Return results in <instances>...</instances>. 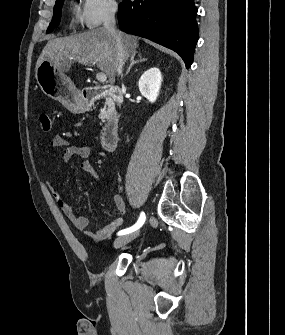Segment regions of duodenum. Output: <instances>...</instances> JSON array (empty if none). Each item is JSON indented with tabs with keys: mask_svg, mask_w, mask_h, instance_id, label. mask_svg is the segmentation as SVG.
Returning a JSON list of instances; mask_svg holds the SVG:
<instances>
[{
	"mask_svg": "<svg viewBox=\"0 0 285 335\" xmlns=\"http://www.w3.org/2000/svg\"><path fill=\"white\" fill-rule=\"evenodd\" d=\"M104 98L109 100V115L102 127L100 141L107 151H113L119 142L120 118L117 107L122 101L121 89L109 84L101 87H89L82 93V101L87 106Z\"/></svg>",
	"mask_w": 285,
	"mask_h": 335,
	"instance_id": "obj_1",
	"label": "duodenum"
}]
</instances>
